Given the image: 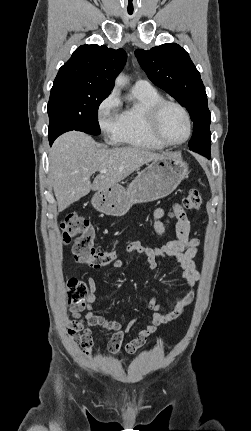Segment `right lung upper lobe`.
<instances>
[{"mask_svg": "<svg viewBox=\"0 0 251 431\" xmlns=\"http://www.w3.org/2000/svg\"><path fill=\"white\" fill-rule=\"evenodd\" d=\"M123 49H109L97 44L78 47L59 69L54 82L72 81L96 89L111 91L116 76L126 63Z\"/></svg>", "mask_w": 251, "mask_h": 431, "instance_id": "right-lung-upper-lobe-1", "label": "right lung upper lobe"}]
</instances>
